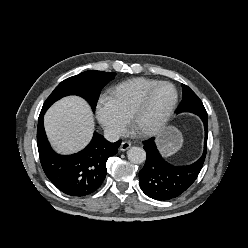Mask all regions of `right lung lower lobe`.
Returning a JSON list of instances; mask_svg holds the SVG:
<instances>
[{
  "label": "right lung lower lobe",
  "mask_w": 248,
  "mask_h": 248,
  "mask_svg": "<svg viewBox=\"0 0 248 248\" xmlns=\"http://www.w3.org/2000/svg\"><path fill=\"white\" fill-rule=\"evenodd\" d=\"M42 109L38 119L37 144L42 168L49 180L63 193L85 196L97 190L106 177L107 159L118 152L120 141L108 142L94 133L90 144L82 151L68 156L55 153L45 134Z\"/></svg>",
  "instance_id": "right-lung-lower-lobe-1"
}]
</instances>
